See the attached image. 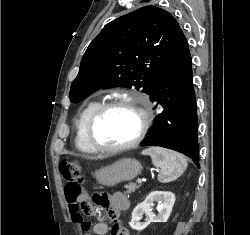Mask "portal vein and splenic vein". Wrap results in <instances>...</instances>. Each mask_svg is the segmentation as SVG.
Here are the masks:
<instances>
[{
    "instance_id": "portal-vein-and-splenic-vein-1",
    "label": "portal vein and splenic vein",
    "mask_w": 250,
    "mask_h": 235,
    "mask_svg": "<svg viewBox=\"0 0 250 235\" xmlns=\"http://www.w3.org/2000/svg\"><path fill=\"white\" fill-rule=\"evenodd\" d=\"M137 183H138V184H141V183H142V180H141V179H137Z\"/></svg>"
}]
</instances>
